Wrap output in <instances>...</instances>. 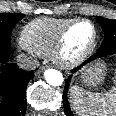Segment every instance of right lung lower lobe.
Here are the masks:
<instances>
[{"mask_svg": "<svg viewBox=\"0 0 116 116\" xmlns=\"http://www.w3.org/2000/svg\"><path fill=\"white\" fill-rule=\"evenodd\" d=\"M10 50L0 56V116H23L26 112V88L34 72L19 69L17 64L6 63Z\"/></svg>", "mask_w": 116, "mask_h": 116, "instance_id": "98d812e1", "label": "right lung lower lobe"}]
</instances>
